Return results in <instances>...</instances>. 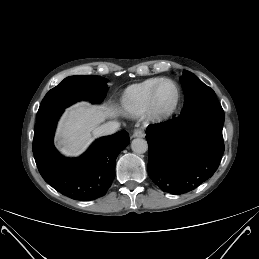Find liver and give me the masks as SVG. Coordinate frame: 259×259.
Wrapping results in <instances>:
<instances>
[{
  "instance_id": "1",
  "label": "liver",
  "mask_w": 259,
  "mask_h": 259,
  "mask_svg": "<svg viewBox=\"0 0 259 259\" xmlns=\"http://www.w3.org/2000/svg\"><path fill=\"white\" fill-rule=\"evenodd\" d=\"M118 114L113 107L79 102L68 108L62 116L56 134L57 147L67 156H78L93 141V131L106 118Z\"/></svg>"
}]
</instances>
